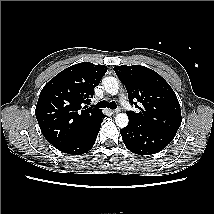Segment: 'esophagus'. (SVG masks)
Listing matches in <instances>:
<instances>
[{"instance_id": "34e87169", "label": "esophagus", "mask_w": 214, "mask_h": 214, "mask_svg": "<svg viewBox=\"0 0 214 214\" xmlns=\"http://www.w3.org/2000/svg\"><path fill=\"white\" fill-rule=\"evenodd\" d=\"M119 112H120V109H119V108L112 110V113H113V114H116V113H119Z\"/></svg>"}]
</instances>
